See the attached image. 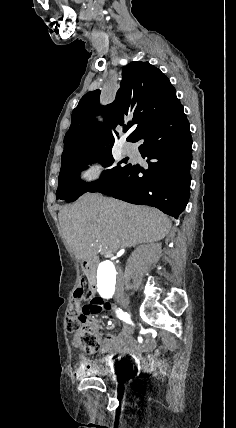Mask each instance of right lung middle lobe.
Instances as JSON below:
<instances>
[{
    "instance_id": "right-lung-middle-lobe-1",
    "label": "right lung middle lobe",
    "mask_w": 236,
    "mask_h": 428,
    "mask_svg": "<svg viewBox=\"0 0 236 428\" xmlns=\"http://www.w3.org/2000/svg\"><path fill=\"white\" fill-rule=\"evenodd\" d=\"M111 147L112 145L109 146L108 150L103 149L97 153L77 160L67 168L61 170L59 173L56 199L64 200L65 202H72L77 200L79 196L86 192H97L110 184L125 166H116L111 169H107L103 172L101 178L98 181L91 183H85L81 181L79 178V172L84 168H87L83 165L95 162L101 163L104 167L111 166L114 162V158L112 157L111 153ZM124 161L126 163V160H122L120 163Z\"/></svg>"
}]
</instances>
